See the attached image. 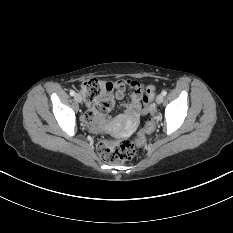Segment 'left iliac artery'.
<instances>
[{
  "label": "left iliac artery",
  "mask_w": 233,
  "mask_h": 233,
  "mask_svg": "<svg viewBox=\"0 0 233 233\" xmlns=\"http://www.w3.org/2000/svg\"><path fill=\"white\" fill-rule=\"evenodd\" d=\"M166 94H167V91H166V90L162 91V95H163V96H166Z\"/></svg>",
  "instance_id": "44dca946"
}]
</instances>
